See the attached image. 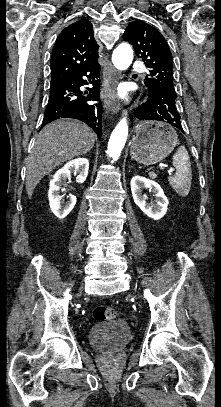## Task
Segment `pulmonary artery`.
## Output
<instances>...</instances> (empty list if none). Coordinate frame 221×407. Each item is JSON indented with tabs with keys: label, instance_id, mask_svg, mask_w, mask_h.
<instances>
[{
	"label": "pulmonary artery",
	"instance_id": "1",
	"mask_svg": "<svg viewBox=\"0 0 221 407\" xmlns=\"http://www.w3.org/2000/svg\"><path fill=\"white\" fill-rule=\"evenodd\" d=\"M133 70L136 71V72H142L144 70V65L142 63H140V62L135 63L133 65Z\"/></svg>",
	"mask_w": 221,
	"mask_h": 407
}]
</instances>
